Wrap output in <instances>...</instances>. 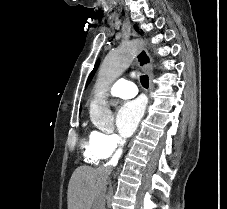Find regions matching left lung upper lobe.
Returning <instances> with one entry per match:
<instances>
[{
	"label": "left lung upper lobe",
	"mask_w": 227,
	"mask_h": 209,
	"mask_svg": "<svg viewBox=\"0 0 227 209\" xmlns=\"http://www.w3.org/2000/svg\"><path fill=\"white\" fill-rule=\"evenodd\" d=\"M135 29H136L137 32H139L137 26H135ZM139 33L141 34V32H139ZM98 65H99V60L96 62V65H95V67H94V70L91 72V74H90V76H89V78H88V80H87V85H88V83L91 81V79H92V77H93V75H94L96 69L98 68Z\"/></svg>",
	"instance_id": "left-lung-upper-lobe-1"
}]
</instances>
